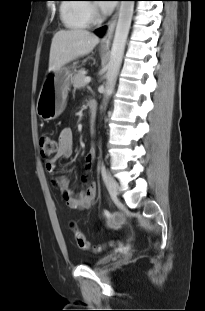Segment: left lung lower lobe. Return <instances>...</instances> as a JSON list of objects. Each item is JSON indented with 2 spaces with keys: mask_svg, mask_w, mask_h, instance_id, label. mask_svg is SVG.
I'll list each match as a JSON object with an SVG mask.
<instances>
[{
  "mask_svg": "<svg viewBox=\"0 0 205 311\" xmlns=\"http://www.w3.org/2000/svg\"><path fill=\"white\" fill-rule=\"evenodd\" d=\"M104 31H105V27H102V28H99V29L97 30V33L100 34V35H102V34L104 33Z\"/></svg>",
  "mask_w": 205,
  "mask_h": 311,
  "instance_id": "1",
  "label": "left lung lower lobe"
}]
</instances>
